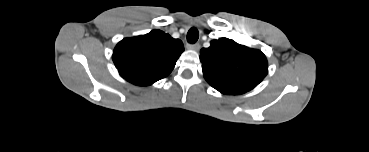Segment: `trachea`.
I'll return each instance as SVG.
<instances>
[{"label":"trachea","instance_id":"1","mask_svg":"<svg viewBox=\"0 0 369 152\" xmlns=\"http://www.w3.org/2000/svg\"><path fill=\"white\" fill-rule=\"evenodd\" d=\"M199 38V32L195 27H192L187 33V41L190 44H194L197 42Z\"/></svg>","mask_w":369,"mask_h":152}]
</instances>
